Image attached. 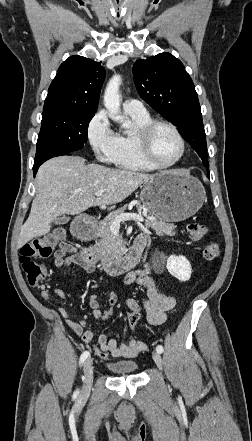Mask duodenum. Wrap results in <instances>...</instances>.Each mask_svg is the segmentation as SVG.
<instances>
[{
	"label": "duodenum",
	"mask_w": 252,
	"mask_h": 441,
	"mask_svg": "<svg viewBox=\"0 0 252 441\" xmlns=\"http://www.w3.org/2000/svg\"><path fill=\"white\" fill-rule=\"evenodd\" d=\"M97 220L94 217L88 218V223H74L72 226V233L78 239L88 240L92 237V227ZM146 240L141 239L139 243L133 245L132 248L124 255H99L94 249L83 248L80 255L83 260L97 263L101 269L110 275H116L134 268L140 261L142 251L144 249Z\"/></svg>",
	"instance_id": "obj_1"
}]
</instances>
